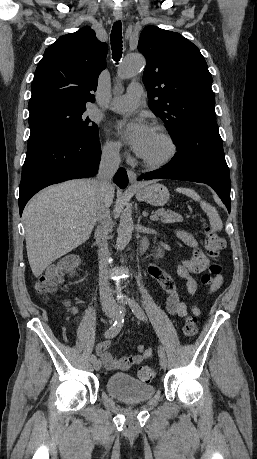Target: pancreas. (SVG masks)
<instances>
[{
	"instance_id": "pancreas-1",
	"label": "pancreas",
	"mask_w": 257,
	"mask_h": 459,
	"mask_svg": "<svg viewBox=\"0 0 257 459\" xmlns=\"http://www.w3.org/2000/svg\"><path fill=\"white\" fill-rule=\"evenodd\" d=\"M155 214L157 216H160L161 221L163 223H175V222H181L183 220L182 216L169 210H165L163 208L158 209L155 211Z\"/></svg>"
}]
</instances>
